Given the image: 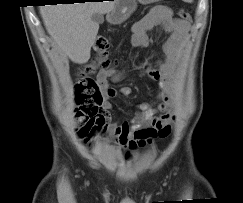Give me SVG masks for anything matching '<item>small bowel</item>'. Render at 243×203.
Returning a JSON list of instances; mask_svg holds the SVG:
<instances>
[{
    "instance_id": "small-bowel-1",
    "label": "small bowel",
    "mask_w": 243,
    "mask_h": 203,
    "mask_svg": "<svg viewBox=\"0 0 243 203\" xmlns=\"http://www.w3.org/2000/svg\"><path fill=\"white\" fill-rule=\"evenodd\" d=\"M161 27L168 37L162 46V58L155 67H142L144 73L158 83V103H141L136 106V115L132 122H112L109 99L116 96L128 97L131 89L128 87L113 88L109 81L119 82L126 71L110 68L102 70L97 75V82L104 99L95 116L90 137L97 134H108L111 145L127 150L125 158H130V151L144 147L156 138H166L176 120L174 112V91L176 69L182 55V50L190 30V23L173 17L172 11L164 6L153 7L147 15L136 22L132 29L131 45L144 47L148 44L147 31ZM160 112V116L156 113Z\"/></svg>"
}]
</instances>
